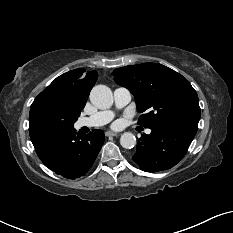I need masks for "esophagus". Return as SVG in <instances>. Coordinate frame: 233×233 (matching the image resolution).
Instances as JSON below:
<instances>
[{"label":"esophagus","instance_id":"1","mask_svg":"<svg viewBox=\"0 0 233 233\" xmlns=\"http://www.w3.org/2000/svg\"><path fill=\"white\" fill-rule=\"evenodd\" d=\"M117 135H118L117 132H113V131H107V132H106V136H107V137H115V136H117Z\"/></svg>","mask_w":233,"mask_h":233}]
</instances>
